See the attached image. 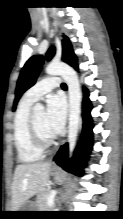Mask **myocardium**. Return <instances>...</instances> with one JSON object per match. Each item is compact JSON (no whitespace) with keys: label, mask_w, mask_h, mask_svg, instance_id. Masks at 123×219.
I'll list each match as a JSON object with an SVG mask.
<instances>
[{"label":"myocardium","mask_w":123,"mask_h":219,"mask_svg":"<svg viewBox=\"0 0 123 219\" xmlns=\"http://www.w3.org/2000/svg\"><path fill=\"white\" fill-rule=\"evenodd\" d=\"M30 130H31L33 141L40 150L44 151L55 144L56 142L55 136L51 138H45L42 136L36 125L34 115H31L30 117Z\"/></svg>","instance_id":"f54148a6"}]
</instances>
